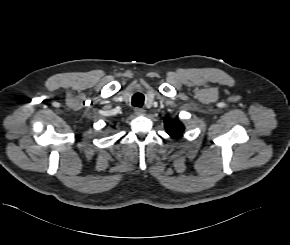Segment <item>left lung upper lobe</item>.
I'll return each mask as SVG.
<instances>
[{
  "label": "left lung upper lobe",
  "instance_id": "5c2ea615",
  "mask_svg": "<svg viewBox=\"0 0 290 245\" xmlns=\"http://www.w3.org/2000/svg\"><path fill=\"white\" fill-rule=\"evenodd\" d=\"M164 123L167 133L172 137L181 135L185 129L184 125L177 119L166 118Z\"/></svg>",
  "mask_w": 290,
  "mask_h": 245
}]
</instances>
